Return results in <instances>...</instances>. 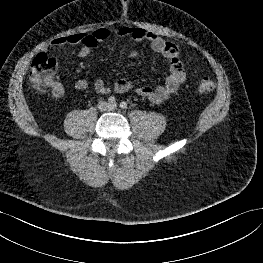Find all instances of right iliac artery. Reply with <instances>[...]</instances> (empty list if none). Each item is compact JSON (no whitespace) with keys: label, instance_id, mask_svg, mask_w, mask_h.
Listing matches in <instances>:
<instances>
[{"label":"right iliac artery","instance_id":"obj_1","mask_svg":"<svg viewBox=\"0 0 263 263\" xmlns=\"http://www.w3.org/2000/svg\"><path fill=\"white\" fill-rule=\"evenodd\" d=\"M108 101H109V103L112 104V105H113V104H116V99H115L114 96L109 97Z\"/></svg>","mask_w":263,"mask_h":263}]
</instances>
